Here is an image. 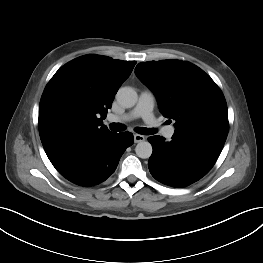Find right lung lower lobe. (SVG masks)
Returning a JSON list of instances; mask_svg holds the SVG:
<instances>
[{"instance_id":"right-lung-lower-lobe-1","label":"right lung lower lobe","mask_w":263,"mask_h":263,"mask_svg":"<svg viewBox=\"0 0 263 263\" xmlns=\"http://www.w3.org/2000/svg\"><path fill=\"white\" fill-rule=\"evenodd\" d=\"M130 132L88 134L65 142L46 154L56 170L80 186L105 181L116 169L124 151L133 144Z\"/></svg>"}]
</instances>
